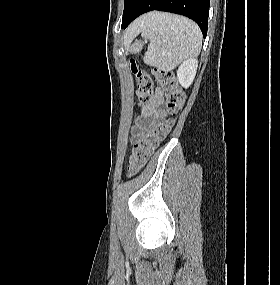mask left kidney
<instances>
[{"mask_svg":"<svg viewBox=\"0 0 280 285\" xmlns=\"http://www.w3.org/2000/svg\"><path fill=\"white\" fill-rule=\"evenodd\" d=\"M198 61L195 58H190L184 61L177 70V78L182 87L188 88L196 75Z\"/></svg>","mask_w":280,"mask_h":285,"instance_id":"left-kidney-1","label":"left kidney"}]
</instances>
